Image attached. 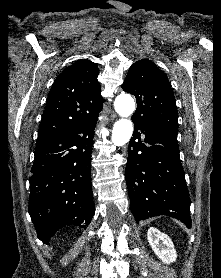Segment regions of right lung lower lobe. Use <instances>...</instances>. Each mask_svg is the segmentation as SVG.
<instances>
[{"mask_svg":"<svg viewBox=\"0 0 221 278\" xmlns=\"http://www.w3.org/2000/svg\"><path fill=\"white\" fill-rule=\"evenodd\" d=\"M97 117L36 146L31 168L29 214L45 244L65 226L86 229L94 215L91 152Z\"/></svg>","mask_w":221,"mask_h":278,"instance_id":"right-lung-lower-lobe-1","label":"right lung lower lobe"}]
</instances>
